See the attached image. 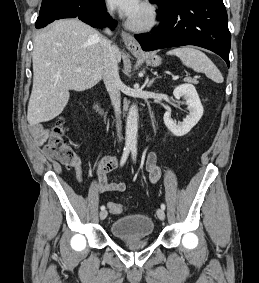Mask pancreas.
Returning <instances> with one entry per match:
<instances>
[{"instance_id": "cf45deb5", "label": "pancreas", "mask_w": 259, "mask_h": 283, "mask_svg": "<svg viewBox=\"0 0 259 283\" xmlns=\"http://www.w3.org/2000/svg\"><path fill=\"white\" fill-rule=\"evenodd\" d=\"M184 81H185V82H189V83H193V84H196V83H197L196 80L191 79V78H189V77L185 78Z\"/></svg>"}]
</instances>
